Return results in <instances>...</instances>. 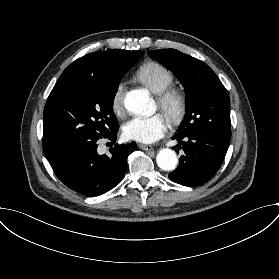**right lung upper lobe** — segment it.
Returning a JSON list of instances; mask_svg holds the SVG:
<instances>
[{
  "label": "right lung upper lobe",
  "mask_w": 279,
  "mask_h": 279,
  "mask_svg": "<svg viewBox=\"0 0 279 279\" xmlns=\"http://www.w3.org/2000/svg\"><path fill=\"white\" fill-rule=\"evenodd\" d=\"M143 53L142 51L109 50L94 52L85 55L70 64L62 75L65 74H91L102 75L115 66L129 54ZM144 54V53H143Z\"/></svg>",
  "instance_id": "1"
}]
</instances>
